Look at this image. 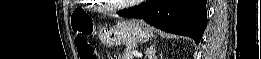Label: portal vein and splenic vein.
I'll return each instance as SVG.
<instances>
[{
  "mask_svg": "<svg viewBox=\"0 0 261 59\" xmlns=\"http://www.w3.org/2000/svg\"><path fill=\"white\" fill-rule=\"evenodd\" d=\"M132 53H133V55L136 56V57H142V54L139 53V52H137V51H133Z\"/></svg>",
  "mask_w": 261,
  "mask_h": 59,
  "instance_id": "obj_1",
  "label": "portal vein and splenic vein"
}]
</instances>
